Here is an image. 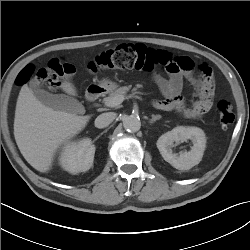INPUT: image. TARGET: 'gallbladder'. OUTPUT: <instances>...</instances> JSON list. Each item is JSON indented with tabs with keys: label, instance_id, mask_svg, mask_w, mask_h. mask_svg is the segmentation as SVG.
I'll return each instance as SVG.
<instances>
[{
	"label": "gallbladder",
	"instance_id": "bac80fb5",
	"mask_svg": "<svg viewBox=\"0 0 250 250\" xmlns=\"http://www.w3.org/2000/svg\"><path fill=\"white\" fill-rule=\"evenodd\" d=\"M30 87L35 97L45 106L53 110L64 111L69 113H83V105L73 97L65 94H52L39 86L38 79H33L30 82Z\"/></svg>",
	"mask_w": 250,
	"mask_h": 250
}]
</instances>
